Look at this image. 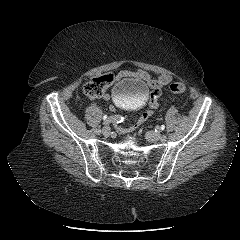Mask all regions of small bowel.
<instances>
[{
  "label": "small bowel",
  "mask_w": 240,
  "mask_h": 240,
  "mask_svg": "<svg viewBox=\"0 0 240 240\" xmlns=\"http://www.w3.org/2000/svg\"><path fill=\"white\" fill-rule=\"evenodd\" d=\"M110 76V81L108 83V85H110L111 83H113L116 80H119L121 78L124 77H135L137 79L142 80L143 82H145L151 89V95H150V101H149V106L150 109L146 110L145 112L142 113L139 121L136 123H133L129 129H127L125 132L123 131V126L122 125H117L116 126V131L117 132H121L120 133V138L121 139H128L130 138L132 135H134L138 129L143 128L145 124H150L151 123V118L150 116L152 115L153 110L158 108L159 105V98L161 96V88H163L164 86H166L170 81H171V76L168 74H162L159 77H152L148 72L144 71V70H134V71H128V70H124L119 72L117 75H112V74H108ZM110 94L106 93L102 96V99L104 101H107L108 99H110ZM108 108L110 110H113L115 108V105L113 103H110L108 105ZM144 121V122H143ZM145 123V124H144ZM123 131V132H122Z\"/></svg>",
  "instance_id": "small-bowel-1"
}]
</instances>
